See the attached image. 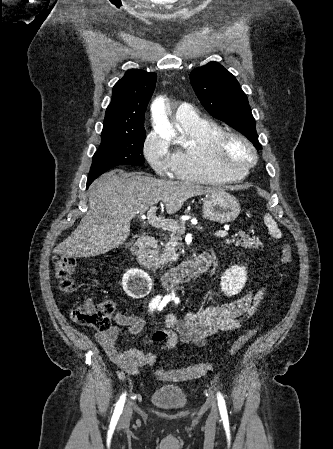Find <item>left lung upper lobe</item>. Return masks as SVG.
I'll return each instance as SVG.
<instances>
[{"label": "left lung upper lobe", "mask_w": 333, "mask_h": 449, "mask_svg": "<svg viewBox=\"0 0 333 449\" xmlns=\"http://www.w3.org/2000/svg\"><path fill=\"white\" fill-rule=\"evenodd\" d=\"M190 80L202 105L213 117L238 129L257 149H262L248 98L230 72L217 62H210L192 70Z\"/></svg>", "instance_id": "5c2ea615"}]
</instances>
